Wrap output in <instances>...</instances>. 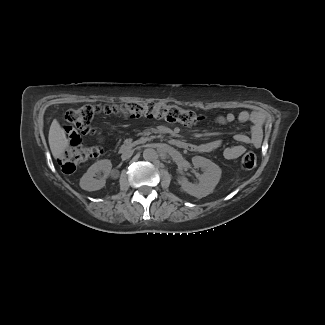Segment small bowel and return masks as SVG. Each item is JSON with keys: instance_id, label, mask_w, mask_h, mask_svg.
<instances>
[{"instance_id": "c3829d8e", "label": "small bowel", "mask_w": 325, "mask_h": 325, "mask_svg": "<svg viewBox=\"0 0 325 325\" xmlns=\"http://www.w3.org/2000/svg\"><path fill=\"white\" fill-rule=\"evenodd\" d=\"M263 114L260 112H256L253 115L248 111H241L237 114L235 113H224L217 115L214 117L213 122L219 126L231 125L235 122L246 123L250 121L252 118L255 121L256 127H259L261 122L263 121ZM63 133L66 135L68 139L66 141V146L69 149L77 148L83 142V136L80 133L74 131V128L71 125H66L63 128ZM237 140L241 144H237L231 147H228L224 150V156L227 159H237L239 158L245 151V147L242 143H246L250 140L249 136L240 133L237 135ZM220 140H211L204 144H200L196 146V149L203 152L214 151L221 147Z\"/></svg>"}]
</instances>
